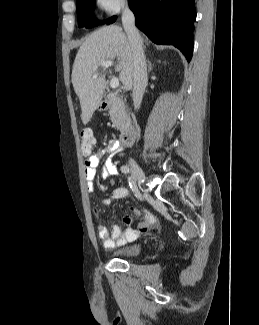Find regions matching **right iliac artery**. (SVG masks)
Here are the masks:
<instances>
[{
	"label": "right iliac artery",
	"mask_w": 259,
	"mask_h": 325,
	"mask_svg": "<svg viewBox=\"0 0 259 325\" xmlns=\"http://www.w3.org/2000/svg\"><path fill=\"white\" fill-rule=\"evenodd\" d=\"M121 171L125 174H128V173H130V168L128 166L124 165L121 167Z\"/></svg>",
	"instance_id": "right-iliac-artery-1"
}]
</instances>
